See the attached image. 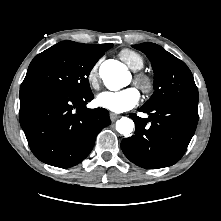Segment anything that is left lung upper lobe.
I'll use <instances>...</instances> for the list:
<instances>
[{
  "mask_svg": "<svg viewBox=\"0 0 221 221\" xmlns=\"http://www.w3.org/2000/svg\"><path fill=\"white\" fill-rule=\"evenodd\" d=\"M151 61L154 70V89L151 98L143 105L153 107L171 100L198 103V89L187 65L155 43L133 46Z\"/></svg>",
  "mask_w": 221,
  "mask_h": 221,
  "instance_id": "left-lung-upper-lobe-1",
  "label": "left lung upper lobe"
}]
</instances>
